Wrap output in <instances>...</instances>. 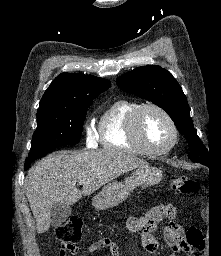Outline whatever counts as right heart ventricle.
<instances>
[{"label":"right heart ventricle","mask_w":221,"mask_h":256,"mask_svg":"<svg viewBox=\"0 0 221 256\" xmlns=\"http://www.w3.org/2000/svg\"><path fill=\"white\" fill-rule=\"evenodd\" d=\"M141 106L134 100L118 99L108 105L99 120V139L103 148L136 155L145 154L128 135L133 113Z\"/></svg>","instance_id":"e07e8e85"}]
</instances>
